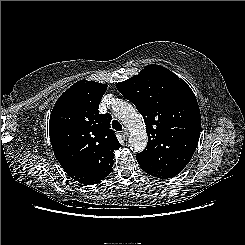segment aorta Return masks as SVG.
I'll return each mask as SVG.
<instances>
[{"instance_id":"762f6f07","label":"aorta","mask_w":245,"mask_h":245,"mask_svg":"<svg viewBox=\"0 0 245 245\" xmlns=\"http://www.w3.org/2000/svg\"><path fill=\"white\" fill-rule=\"evenodd\" d=\"M114 115L129 129V146L134 152H141L147 145V133L143 117L126 101L113 102Z\"/></svg>"}]
</instances>
